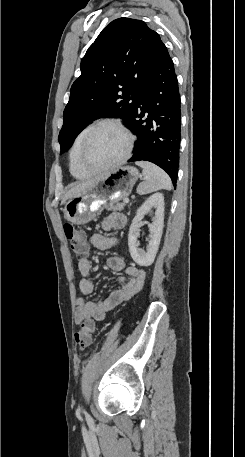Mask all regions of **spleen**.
Segmentation results:
<instances>
[{
	"label": "spleen",
	"mask_w": 245,
	"mask_h": 457,
	"mask_svg": "<svg viewBox=\"0 0 245 457\" xmlns=\"http://www.w3.org/2000/svg\"><path fill=\"white\" fill-rule=\"evenodd\" d=\"M135 164L143 168L142 172L145 176V180L140 182L136 188L138 194H148V192H155L160 188L171 190V178L165 170H162L156 164H152V162H147V160H137Z\"/></svg>",
	"instance_id": "1"
}]
</instances>
